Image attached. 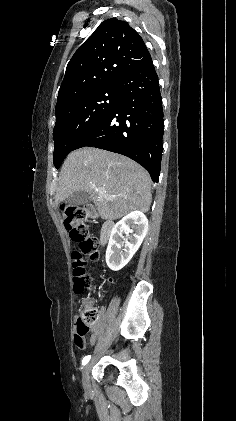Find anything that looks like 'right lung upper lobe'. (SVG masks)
<instances>
[{"label": "right lung upper lobe", "mask_w": 236, "mask_h": 421, "mask_svg": "<svg viewBox=\"0 0 236 421\" xmlns=\"http://www.w3.org/2000/svg\"><path fill=\"white\" fill-rule=\"evenodd\" d=\"M149 59L144 41L127 22L105 20L68 63L56 108L74 97L117 87L124 75Z\"/></svg>", "instance_id": "1"}]
</instances>
